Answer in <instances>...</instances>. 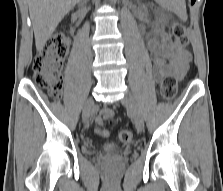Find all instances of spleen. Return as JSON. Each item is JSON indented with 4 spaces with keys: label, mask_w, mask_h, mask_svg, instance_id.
<instances>
[{
    "label": "spleen",
    "mask_w": 223,
    "mask_h": 191,
    "mask_svg": "<svg viewBox=\"0 0 223 191\" xmlns=\"http://www.w3.org/2000/svg\"><path fill=\"white\" fill-rule=\"evenodd\" d=\"M171 10L179 15L182 19L186 18L185 0H171Z\"/></svg>",
    "instance_id": "obj_1"
}]
</instances>
